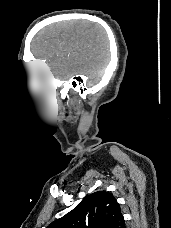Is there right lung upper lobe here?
Masks as SVG:
<instances>
[{
    "label": "right lung upper lobe",
    "instance_id": "1",
    "mask_svg": "<svg viewBox=\"0 0 171 228\" xmlns=\"http://www.w3.org/2000/svg\"><path fill=\"white\" fill-rule=\"evenodd\" d=\"M47 228H125V224L116 199L109 192L97 191Z\"/></svg>",
    "mask_w": 171,
    "mask_h": 228
}]
</instances>
